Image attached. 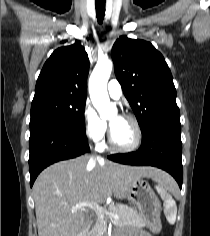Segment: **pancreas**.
<instances>
[{"label": "pancreas", "mask_w": 210, "mask_h": 236, "mask_svg": "<svg viewBox=\"0 0 210 236\" xmlns=\"http://www.w3.org/2000/svg\"><path fill=\"white\" fill-rule=\"evenodd\" d=\"M109 212L119 215V219L114 221L117 227L136 226L144 227L145 221L143 217L132 207L125 204H118L115 207H110ZM107 227V220L105 217H98L89 230L88 236H102Z\"/></svg>", "instance_id": "pancreas-1"}]
</instances>
